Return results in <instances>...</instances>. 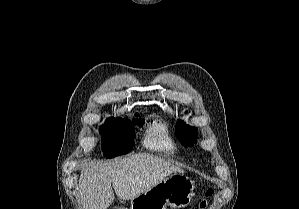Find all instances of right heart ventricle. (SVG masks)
<instances>
[{
	"instance_id": "e07e8e85",
	"label": "right heart ventricle",
	"mask_w": 299,
	"mask_h": 209,
	"mask_svg": "<svg viewBox=\"0 0 299 209\" xmlns=\"http://www.w3.org/2000/svg\"><path fill=\"white\" fill-rule=\"evenodd\" d=\"M144 143L146 147L155 151L168 154L175 151V144L162 124H154L149 128Z\"/></svg>"
}]
</instances>
